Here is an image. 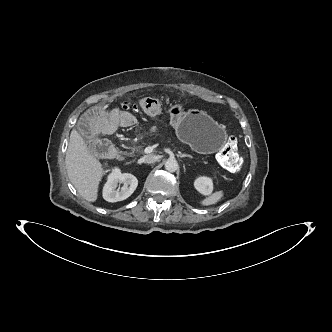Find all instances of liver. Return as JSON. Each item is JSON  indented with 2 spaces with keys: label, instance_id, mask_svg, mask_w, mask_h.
<instances>
[{
  "label": "liver",
  "instance_id": "1",
  "mask_svg": "<svg viewBox=\"0 0 332 332\" xmlns=\"http://www.w3.org/2000/svg\"><path fill=\"white\" fill-rule=\"evenodd\" d=\"M65 165L69 180L78 193L88 202L96 201L105 170L76 130L70 134Z\"/></svg>",
  "mask_w": 332,
  "mask_h": 332
}]
</instances>
